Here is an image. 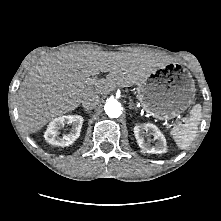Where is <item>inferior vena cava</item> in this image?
I'll use <instances>...</instances> for the list:
<instances>
[{"instance_id":"inferior-vena-cava-1","label":"inferior vena cava","mask_w":221,"mask_h":221,"mask_svg":"<svg viewBox=\"0 0 221 221\" xmlns=\"http://www.w3.org/2000/svg\"><path fill=\"white\" fill-rule=\"evenodd\" d=\"M99 103V96L98 95H90L82 100V106L87 109L91 110L94 109Z\"/></svg>"}]
</instances>
